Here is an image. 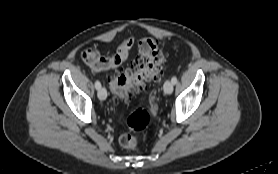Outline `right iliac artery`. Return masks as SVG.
Wrapping results in <instances>:
<instances>
[{
    "instance_id": "82829eb1",
    "label": "right iliac artery",
    "mask_w": 278,
    "mask_h": 174,
    "mask_svg": "<svg viewBox=\"0 0 278 174\" xmlns=\"http://www.w3.org/2000/svg\"><path fill=\"white\" fill-rule=\"evenodd\" d=\"M95 88L97 90L101 88V83L98 80L95 82Z\"/></svg>"
}]
</instances>
